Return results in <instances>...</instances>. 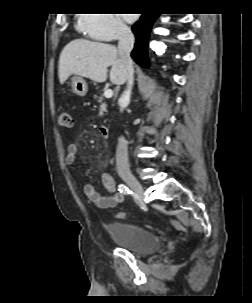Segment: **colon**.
I'll return each mask as SVG.
<instances>
[{"mask_svg":"<svg viewBox=\"0 0 252 303\" xmlns=\"http://www.w3.org/2000/svg\"><path fill=\"white\" fill-rule=\"evenodd\" d=\"M59 121H60V125H61L62 127L69 128V127H71V125H72L71 115H70V113L67 112V111H62V112L60 113ZM117 217H118V218H124V217H125V214H124V213H118V214H117Z\"/></svg>","mask_w":252,"mask_h":303,"instance_id":"colon-1","label":"colon"}]
</instances>
